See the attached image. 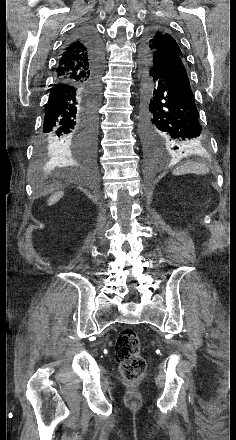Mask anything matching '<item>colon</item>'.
Here are the masks:
<instances>
[{
    "label": "colon",
    "instance_id": "5ec220e1",
    "mask_svg": "<svg viewBox=\"0 0 236 440\" xmlns=\"http://www.w3.org/2000/svg\"><path fill=\"white\" fill-rule=\"evenodd\" d=\"M140 339L132 329H123L115 343V354L120 371L125 379L132 381L140 378L146 362L140 353Z\"/></svg>",
    "mask_w": 236,
    "mask_h": 440
}]
</instances>
